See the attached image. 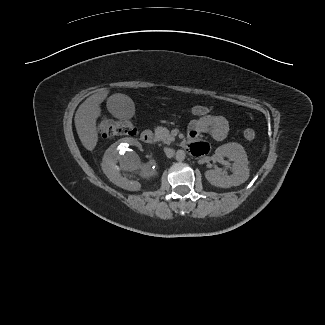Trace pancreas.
<instances>
[{
  "label": "pancreas",
  "instance_id": "pancreas-1",
  "mask_svg": "<svg viewBox=\"0 0 325 325\" xmlns=\"http://www.w3.org/2000/svg\"><path fill=\"white\" fill-rule=\"evenodd\" d=\"M155 135L158 140L164 142L165 144H170L172 141H174V137L170 134L169 130L167 128L158 126L155 128Z\"/></svg>",
  "mask_w": 325,
  "mask_h": 325
}]
</instances>
